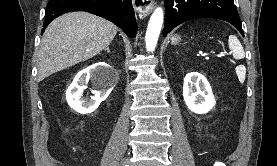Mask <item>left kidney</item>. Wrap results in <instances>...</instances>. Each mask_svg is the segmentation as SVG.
Wrapping results in <instances>:
<instances>
[{
	"label": "left kidney",
	"instance_id": "5707ae66",
	"mask_svg": "<svg viewBox=\"0 0 277 166\" xmlns=\"http://www.w3.org/2000/svg\"><path fill=\"white\" fill-rule=\"evenodd\" d=\"M183 97L187 107L194 113L205 114L215 106V98L207 79L198 72L184 78Z\"/></svg>",
	"mask_w": 277,
	"mask_h": 166
}]
</instances>
